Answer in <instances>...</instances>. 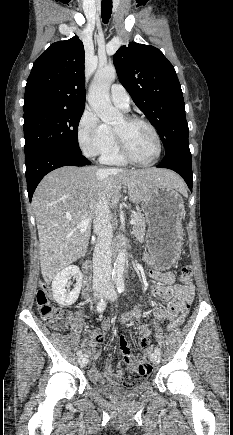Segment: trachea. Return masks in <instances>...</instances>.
Masks as SVG:
<instances>
[{
	"label": "trachea",
	"mask_w": 233,
	"mask_h": 435,
	"mask_svg": "<svg viewBox=\"0 0 233 435\" xmlns=\"http://www.w3.org/2000/svg\"><path fill=\"white\" fill-rule=\"evenodd\" d=\"M112 14V0H102L101 16L104 23H108Z\"/></svg>",
	"instance_id": "3493384b"
}]
</instances>
